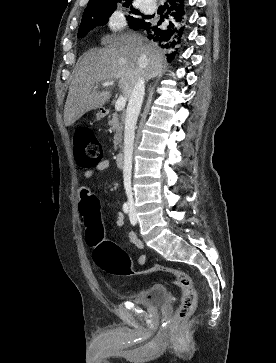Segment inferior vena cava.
Masks as SVG:
<instances>
[{"mask_svg":"<svg viewBox=\"0 0 276 363\" xmlns=\"http://www.w3.org/2000/svg\"><path fill=\"white\" fill-rule=\"evenodd\" d=\"M145 93V79L140 78L135 84L129 103L126 109L125 132H124V166L123 178L124 188L128 198V204L133 205V193L131 187L132 155L133 143L137 119L141 110L143 97Z\"/></svg>","mask_w":276,"mask_h":363,"instance_id":"obj_1","label":"inferior vena cava"}]
</instances>
